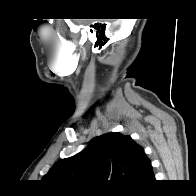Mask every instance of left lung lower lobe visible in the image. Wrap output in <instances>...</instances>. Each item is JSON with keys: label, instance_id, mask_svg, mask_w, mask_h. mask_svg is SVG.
<instances>
[{"label": "left lung lower lobe", "instance_id": "1", "mask_svg": "<svg viewBox=\"0 0 196 196\" xmlns=\"http://www.w3.org/2000/svg\"><path fill=\"white\" fill-rule=\"evenodd\" d=\"M154 182V173L151 167V162L147 165L140 181L138 182V186H141L143 184Z\"/></svg>", "mask_w": 196, "mask_h": 196}]
</instances>
